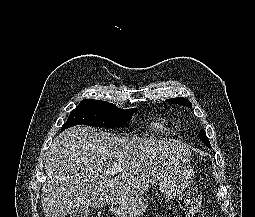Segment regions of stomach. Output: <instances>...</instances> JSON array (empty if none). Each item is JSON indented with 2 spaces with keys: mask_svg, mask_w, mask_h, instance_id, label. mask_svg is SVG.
<instances>
[{
  "mask_svg": "<svg viewBox=\"0 0 255 217\" xmlns=\"http://www.w3.org/2000/svg\"><path fill=\"white\" fill-rule=\"evenodd\" d=\"M194 177L193 169L186 165H180L176 170L163 175L159 179L161 194L165 199L179 196L190 184ZM148 200L138 197L123 202L111 204L110 211L115 217H138L146 212Z\"/></svg>",
  "mask_w": 255,
  "mask_h": 217,
  "instance_id": "0dacf381",
  "label": "stomach"
}]
</instances>
